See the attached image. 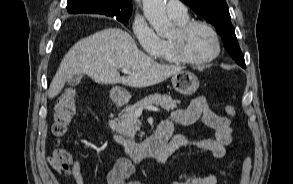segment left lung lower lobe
<instances>
[{
    "label": "left lung lower lobe",
    "instance_id": "left-lung-lower-lobe-1",
    "mask_svg": "<svg viewBox=\"0 0 293 184\" xmlns=\"http://www.w3.org/2000/svg\"><path fill=\"white\" fill-rule=\"evenodd\" d=\"M242 68H245L246 67V65L244 64V65H240Z\"/></svg>",
    "mask_w": 293,
    "mask_h": 184
}]
</instances>
